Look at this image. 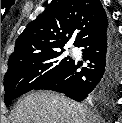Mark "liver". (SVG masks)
Returning a JSON list of instances; mask_svg holds the SVG:
<instances>
[{"label":"liver","instance_id":"1","mask_svg":"<svg viewBox=\"0 0 122 123\" xmlns=\"http://www.w3.org/2000/svg\"><path fill=\"white\" fill-rule=\"evenodd\" d=\"M97 119L83 104L42 90L20 99L11 115V123H95Z\"/></svg>","mask_w":122,"mask_h":123}]
</instances>
